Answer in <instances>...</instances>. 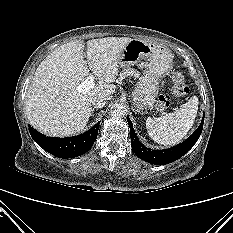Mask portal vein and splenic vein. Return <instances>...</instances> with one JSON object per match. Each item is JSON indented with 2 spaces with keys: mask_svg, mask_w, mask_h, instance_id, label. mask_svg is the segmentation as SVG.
<instances>
[{
  "mask_svg": "<svg viewBox=\"0 0 233 233\" xmlns=\"http://www.w3.org/2000/svg\"><path fill=\"white\" fill-rule=\"evenodd\" d=\"M95 85V77L93 75H89L84 82L77 86V90L79 92H86L92 89Z\"/></svg>",
  "mask_w": 233,
  "mask_h": 233,
  "instance_id": "obj_1",
  "label": "portal vein and splenic vein"
}]
</instances>
